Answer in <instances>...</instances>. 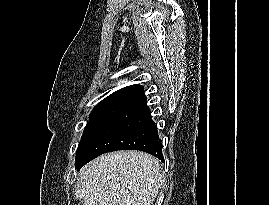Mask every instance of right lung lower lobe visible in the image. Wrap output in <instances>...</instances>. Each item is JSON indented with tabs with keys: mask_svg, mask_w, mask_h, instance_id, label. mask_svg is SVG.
Returning <instances> with one entry per match:
<instances>
[{
	"mask_svg": "<svg viewBox=\"0 0 269 205\" xmlns=\"http://www.w3.org/2000/svg\"><path fill=\"white\" fill-rule=\"evenodd\" d=\"M126 149L147 152L164 162L157 126L146 101L114 117L82 150L76 169L103 153Z\"/></svg>",
	"mask_w": 269,
	"mask_h": 205,
	"instance_id": "right-lung-lower-lobe-1",
	"label": "right lung lower lobe"
}]
</instances>
